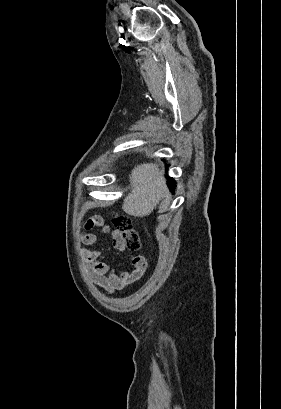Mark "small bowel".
<instances>
[{"mask_svg": "<svg viewBox=\"0 0 281 409\" xmlns=\"http://www.w3.org/2000/svg\"><path fill=\"white\" fill-rule=\"evenodd\" d=\"M89 220L90 222H82L81 224V229L85 233L81 237L84 245L95 244L97 241L96 235H102L104 231L111 234L113 238L112 244L114 246V250H122L123 241L121 238H119L117 231H111L105 224L104 220L99 219L96 216H91ZM80 256L85 267L89 271L92 280L107 293L121 291L128 284H131L132 282H139L141 276L144 275L146 271V261L142 256L132 257V264L134 267L132 272L123 270L120 274H118L104 262V257L99 250L82 248L80 249ZM130 279L132 282H130Z\"/></svg>", "mask_w": 281, "mask_h": 409, "instance_id": "small-bowel-1", "label": "small bowel"}]
</instances>
